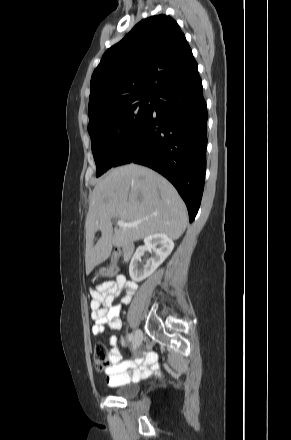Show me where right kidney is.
Instances as JSON below:
<instances>
[{
	"label": "right kidney",
	"instance_id": "1",
	"mask_svg": "<svg viewBox=\"0 0 291 440\" xmlns=\"http://www.w3.org/2000/svg\"><path fill=\"white\" fill-rule=\"evenodd\" d=\"M174 248V243L167 235L155 233L144 238V245L137 248L130 266L129 274L132 280L141 282L149 277L169 256ZM145 251H150L152 256L141 265V256Z\"/></svg>",
	"mask_w": 291,
	"mask_h": 440
}]
</instances>
